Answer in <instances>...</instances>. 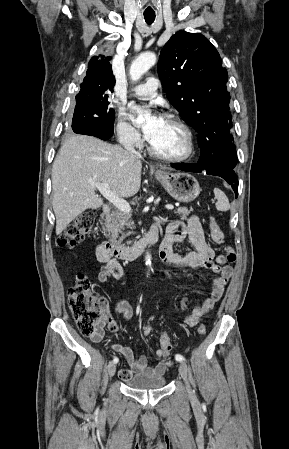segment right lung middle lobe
Listing matches in <instances>:
<instances>
[{
  "label": "right lung middle lobe",
  "mask_w": 289,
  "mask_h": 449,
  "mask_svg": "<svg viewBox=\"0 0 289 449\" xmlns=\"http://www.w3.org/2000/svg\"><path fill=\"white\" fill-rule=\"evenodd\" d=\"M105 91L77 94L72 129L76 133L81 125H89L106 133H113L115 111L109 106Z\"/></svg>",
  "instance_id": "dd1d6c3e"
}]
</instances>
